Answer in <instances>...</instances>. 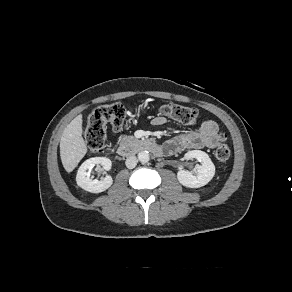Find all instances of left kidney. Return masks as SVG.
Here are the masks:
<instances>
[{
  "mask_svg": "<svg viewBox=\"0 0 292 292\" xmlns=\"http://www.w3.org/2000/svg\"><path fill=\"white\" fill-rule=\"evenodd\" d=\"M185 160L197 159L201 165L196 167L198 174L194 176L191 172L183 170L182 166H179L177 173L178 181L187 188H199L202 187L213 178L215 174V166L208 154L201 150L188 151L184 155Z\"/></svg>",
  "mask_w": 292,
  "mask_h": 292,
  "instance_id": "1",
  "label": "left kidney"
}]
</instances>
